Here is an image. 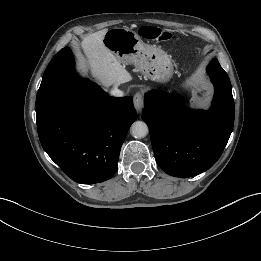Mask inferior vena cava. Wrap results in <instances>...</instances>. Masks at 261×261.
<instances>
[{"instance_id":"obj_1","label":"inferior vena cava","mask_w":261,"mask_h":261,"mask_svg":"<svg viewBox=\"0 0 261 261\" xmlns=\"http://www.w3.org/2000/svg\"><path fill=\"white\" fill-rule=\"evenodd\" d=\"M111 94L117 97L123 96V92L116 87L111 90Z\"/></svg>"}]
</instances>
